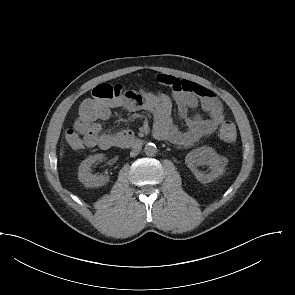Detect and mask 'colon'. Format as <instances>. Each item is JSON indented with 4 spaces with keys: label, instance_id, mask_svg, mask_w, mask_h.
Returning <instances> with one entry per match:
<instances>
[{
    "label": "colon",
    "instance_id": "1",
    "mask_svg": "<svg viewBox=\"0 0 295 295\" xmlns=\"http://www.w3.org/2000/svg\"><path fill=\"white\" fill-rule=\"evenodd\" d=\"M126 92L127 90L121 85L99 84L92 90V98L82 103L81 110L88 112L96 104L113 101ZM219 135L225 142H234L237 136L235 124L225 121L220 127Z\"/></svg>",
    "mask_w": 295,
    "mask_h": 295
}]
</instances>
